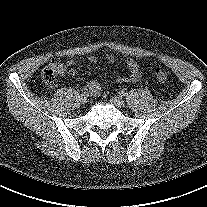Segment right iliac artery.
<instances>
[{
    "label": "right iliac artery",
    "instance_id": "right-iliac-artery-1",
    "mask_svg": "<svg viewBox=\"0 0 207 207\" xmlns=\"http://www.w3.org/2000/svg\"><path fill=\"white\" fill-rule=\"evenodd\" d=\"M88 93H89V91H88L87 88H83V89H82V94H83V95H88Z\"/></svg>",
    "mask_w": 207,
    "mask_h": 207
}]
</instances>
